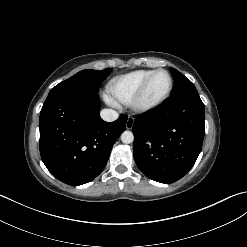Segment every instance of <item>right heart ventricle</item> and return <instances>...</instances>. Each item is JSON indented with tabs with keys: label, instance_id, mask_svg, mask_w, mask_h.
Here are the masks:
<instances>
[{
	"label": "right heart ventricle",
	"instance_id": "e07e8e85",
	"mask_svg": "<svg viewBox=\"0 0 247 247\" xmlns=\"http://www.w3.org/2000/svg\"><path fill=\"white\" fill-rule=\"evenodd\" d=\"M154 70H136L111 79L108 83L109 93L119 102L129 104L143 82Z\"/></svg>",
	"mask_w": 247,
	"mask_h": 247
}]
</instances>
